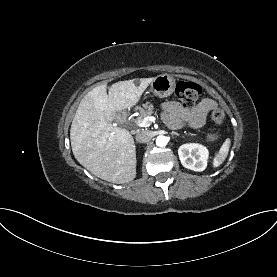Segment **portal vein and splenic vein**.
Returning <instances> with one entry per match:
<instances>
[{"mask_svg": "<svg viewBox=\"0 0 277 277\" xmlns=\"http://www.w3.org/2000/svg\"><path fill=\"white\" fill-rule=\"evenodd\" d=\"M154 121H155V117H153V116H148V117H145L143 120L138 121V122H137V125H138L139 127H148V126H150V124H151L152 122H154Z\"/></svg>", "mask_w": 277, "mask_h": 277, "instance_id": "1", "label": "portal vein and splenic vein"}]
</instances>
